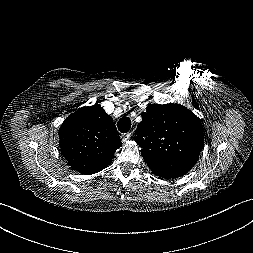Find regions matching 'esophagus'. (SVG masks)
I'll return each instance as SVG.
<instances>
[{"mask_svg":"<svg viewBox=\"0 0 253 253\" xmlns=\"http://www.w3.org/2000/svg\"><path fill=\"white\" fill-rule=\"evenodd\" d=\"M131 136H132V133H131V132L126 133V134H123V135H122V141H123V142H126L127 140H129V139L131 138Z\"/></svg>","mask_w":253,"mask_h":253,"instance_id":"obj_1","label":"esophagus"}]
</instances>
